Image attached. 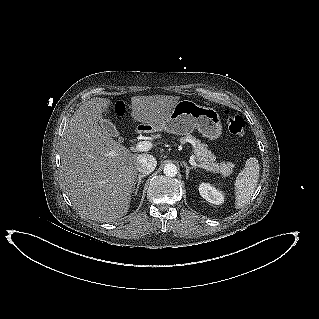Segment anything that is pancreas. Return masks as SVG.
Here are the masks:
<instances>
[{
  "label": "pancreas",
  "instance_id": "obj_1",
  "mask_svg": "<svg viewBox=\"0 0 319 319\" xmlns=\"http://www.w3.org/2000/svg\"><path fill=\"white\" fill-rule=\"evenodd\" d=\"M181 141H188L193 145L194 158L199 163L200 167L209 172L220 173L223 177H227L232 173L234 164L225 161L217 163L216 156L208 150L207 144L201 143L199 139H196L192 135H187L182 138Z\"/></svg>",
  "mask_w": 319,
  "mask_h": 319
}]
</instances>
